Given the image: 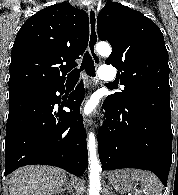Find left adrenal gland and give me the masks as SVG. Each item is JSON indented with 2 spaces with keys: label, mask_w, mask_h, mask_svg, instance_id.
Masks as SVG:
<instances>
[{
  "label": "left adrenal gland",
  "mask_w": 178,
  "mask_h": 195,
  "mask_svg": "<svg viewBox=\"0 0 178 195\" xmlns=\"http://www.w3.org/2000/svg\"><path fill=\"white\" fill-rule=\"evenodd\" d=\"M109 189H110V188H109V186H108V188L105 190V191H106L105 195H112V194L109 193Z\"/></svg>",
  "instance_id": "a2214340"
}]
</instances>
